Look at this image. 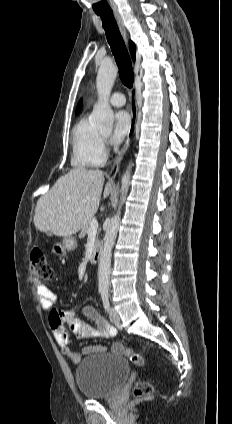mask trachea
I'll return each mask as SVG.
<instances>
[{
	"label": "trachea",
	"mask_w": 232,
	"mask_h": 424,
	"mask_svg": "<svg viewBox=\"0 0 232 424\" xmlns=\"http://www.w3.org/2000/svg\"><path fill=\"white\" fill-rule=\"evenodd\" d=\"M96 14L101 17L107 41L119 68L120 79L126 87L131 88L134 81L132 63L114 15L112 12H97Z\"/></svg>",
	"instance_id": "3493384b"
}]
</instances>
